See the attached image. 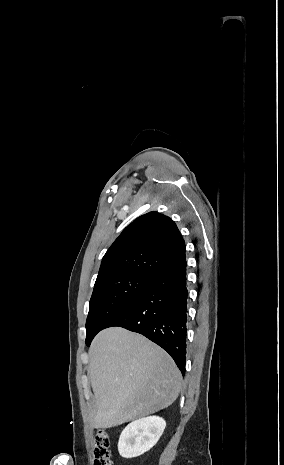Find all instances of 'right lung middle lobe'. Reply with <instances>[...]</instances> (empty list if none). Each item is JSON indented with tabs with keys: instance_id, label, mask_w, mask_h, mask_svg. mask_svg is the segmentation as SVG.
I'll list each match as a JSON object with an SVG mask.
<instances>
[{
	"instance_id": "right-lung-middle-lobe-1",
	"label": "right lung middle lobe",
	"mask_w": 284,
	"mask_h": 465,
	"mask_svg": "<svg viewBox=\"0 0 284 465\" xmlns=\"http://www.w3.org/2000/svg\"><path fill=\"white\" fill-rule=\"evenodd\" d=\"M152 280L153 278L142 275L125 274L95 283L86 321L87 346L105 324L138 296Z\"/></svg>"
}]
</instances>
